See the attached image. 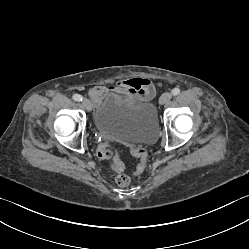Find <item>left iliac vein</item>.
<instances>
[{
  "mask_svg": "<svg viewBox=\"0 0 249 249\" xmlns=\"http://www.w3.org/2000/svg\"><path fill=\"white\" fill-rule=\"evenodd\" d=\"M171 97H172V94L170 92H166V93L162 94V96L160 97V100H159L160 104H165V103L169 102Z\"/></svg>",
  "mask_w": 249,
  "mask_h": 249,
  "instance_id": "1",
  "label": "left iliac vein"
}]
</instances>
